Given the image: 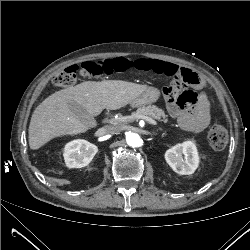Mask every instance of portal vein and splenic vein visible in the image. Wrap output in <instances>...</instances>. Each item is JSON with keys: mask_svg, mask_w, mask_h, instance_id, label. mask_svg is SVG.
Segmentation results:
<instances>
[{"mask_svg": "<svg viewBox=\"0 0 250 250\" xmlns=\"http://www.w3.org/2000/svg\"><path fill=\"white\" fill-rule=\"evenodd\" d=\"M155 117L159 118L158 116H155ZM130 118H132V116L122 117V119H130ZM139 119H143V120L149 122L150 124H153V125L157 126V122L154 119H152L151 117H149V116L141 115V116H139ZM114 120L115 119H113L111 122H114Z\"/></svg>", "mask_w": 250, "mask_h": 250, "instance_id": "portal-vein-and-splenic-vein-1", "label": "portal vein and splenic vein"}]
</instances>
